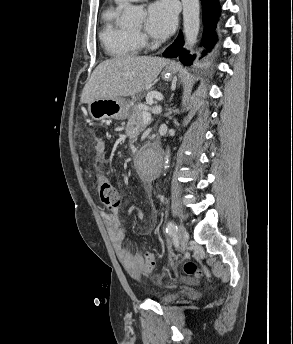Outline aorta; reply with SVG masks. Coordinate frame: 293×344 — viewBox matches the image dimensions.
I'll return each instance as SVG.
<instances>
[{"instance_id":"1","label":"aorta","mask_w":293,"mask_h":344,"mask_svg":"<svg viewBox=\"0 0 293 344\" xmlns=\"http://www.w3.org/2000/svg\"><path fill=\"white\" fill-rule=\"evenodd\" d=\"M183 6V26L188 49H192L197 42L200 29V3L199 0H182ZM144 11L140 7L128 6L123 12V23L125 25H134L143 17ZM156 154L145 151L138 159L137 167L140 173L153 170L156 166ZM170 149L166 150L165 164L169 163Z\"/></svg>"}]
</instances>
